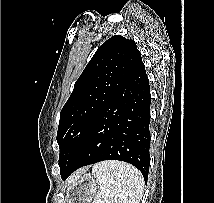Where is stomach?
<instances>
[{
  "label": "stomach",
  "instance_id": "0dacf381",
  "mask_svg": "<svg viewBox=\"0 0 214 203\" xmlns=\"http://www.w3.org/2000/svg\"><path fill=\"white\" fill-rule=\"evenodd\" d=\"M99 190L97 178L84 174L69 184L62 203H91Z\"/></svg>",
  "mask_w": 214,
  "mask_h": 203
}]
</instances>
